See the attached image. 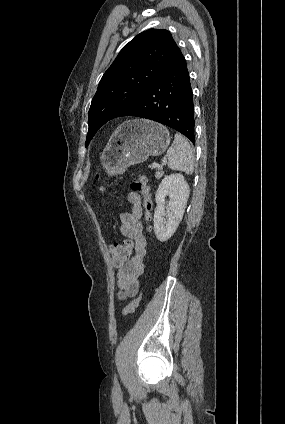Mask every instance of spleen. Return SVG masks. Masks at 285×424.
<instances>
[{
  "instance_id": "spleen-1",
  "label": "spleen",
  "mask_w": 285,
  "mask_h": 424,
  "mask_svg": "<svg viewBox=\"0 0 285 424\" xmlns=\"http://www.w3.org/2000/svg\"><path fill=\"white\" fill-rule=\"evenodd\" d=\"M168 167L188 174L194 171L193 150L188 140L176 133L173 144L167 150Z\"/></svg>"
}]
</instances>
